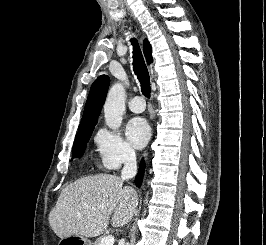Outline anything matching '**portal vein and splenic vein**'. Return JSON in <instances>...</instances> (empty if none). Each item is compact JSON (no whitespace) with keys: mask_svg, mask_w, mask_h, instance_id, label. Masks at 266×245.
Segmentation results:
<instances>
[{"mask_svg":"<svg viewBox=\"0 0 266 245\" xmlns=\"http://www.w3.org/2000/svg\"><path fill=\"white\" fill-rule=\"evenodd\" d=\"M103 209V207H101ZM115 237L113 235H108V237H102L100 245H114Z\"/></svg>","mask_w":266,"mask_h":245,"instance_id":"18ae733b","label":"portal vein and splenic vein"}]
</instances>
